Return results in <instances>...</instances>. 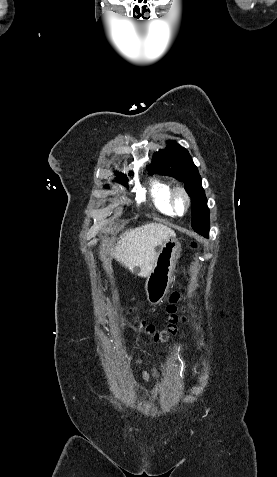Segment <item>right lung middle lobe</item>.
<instances>
[{"instance_id": "dd1d6c3e", "label": "right lung middle lobe", "mask_w": 277, "mask_h": 477, "mask_svg": "<svg viewBox=\"0 0 277 477\" xmlns=\"http://www.w3.org/2000/svg\"><path fill=\"white\" fill-rule=\"evenodd\" d=\"M115 175L118 177L117 181L120 182V183H126L128 181V178L125 174L115 173Z\"/></svg>"}]
</instances>
